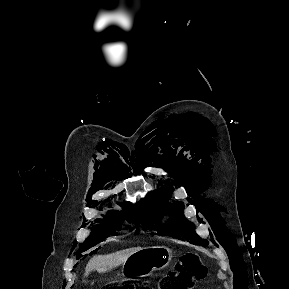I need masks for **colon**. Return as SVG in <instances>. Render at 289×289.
<instances>
[{"mask_svg": "<svg viewBox=\"0 0 289 289\" xmlns=\"http://www.w3.org/2000/svg\"><path fill=\"white\" fill-rule=\"evenodd\" d=\"M206 277V268L199 263L194 253H187L179 261L176 270L163 281L160 289H193V287ZM139 285L127 282L109 284L105 289H139Z\"/></svg>", "mask_w": 289, "mask_h": 289, "instance_id": "1", "label": "colon"}]
</instances>
